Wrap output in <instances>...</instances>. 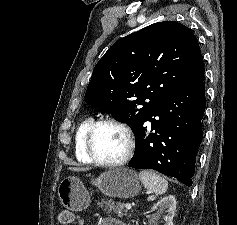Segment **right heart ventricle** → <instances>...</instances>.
I'll return each instance as SVG.
<instances>
[{"label": "right heart ventricle", "instance_id": "e07e8e85", "mask_svg": "<svg viewBox=\"0 0 237 225\" xmlns=\"http://www.w3.org/2000/svg\"><path fill=\"white\" fill-rule=\"evenodd\" d=\"M92 118L84 119L77 127L75 132V140H74V152L75 156L78 161L83 163H91V159L85 152V136L90 127L93 123Z\"/></svg>", "mask_w": 237, "mask_h": 225}]
</instances>
